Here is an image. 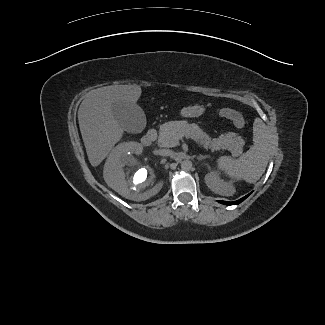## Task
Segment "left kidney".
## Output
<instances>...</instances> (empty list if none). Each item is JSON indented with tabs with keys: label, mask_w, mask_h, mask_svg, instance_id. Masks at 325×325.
I'll return each mask as SVG.
<instances>
[{
	"label": "left kidney",
	"mask_w": 325,
	"mask_h": 325,
	"mask_svg": "<svg viewBox=\"0 0 325 325\" xmlns=\"http://www.w3.org/2000/svg\"><path fill=\"white\" fill-rule=\"evenodd\" d=\"M206 185L215 193L223 196L234 194L235 188L227 182H224L217 173L211 171L205 176Z\"/></svg>",
	"instance_id": "left-kidney-1"
}]
</instances>
